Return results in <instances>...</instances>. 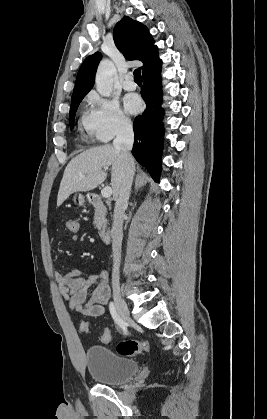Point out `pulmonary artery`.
Wrapping results in <instances>:
<instances>
[{"label":"pulmonary artery","mask_w":267,"mask_h":419,"mask_svg":"<svg viewBox=\"0 0 267 419\" xmlns=\"http://www.w3.org/2000/svg\"><path fill=\"white\" fill-rule=\"evenodd\" d=\"M123 87H124L125 90H129V91L136 89L137 85H136V82L134 81L132 73H128L125 76V80L123 82Z\"/></svg>","instance_id":"1"}]
</instances>
